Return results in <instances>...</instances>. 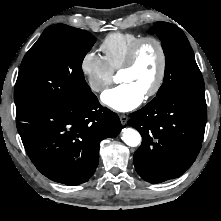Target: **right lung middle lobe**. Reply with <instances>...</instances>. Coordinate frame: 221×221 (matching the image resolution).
Listing matches in <instances>:
<instances>
[{
    "mask_svg": "<svg viewBox=\"0 0 221 221\" xmlns=\"http://www.w3.org/2000/svg\"><path fill=\"white\" fill-rule=\"evenodd\" d=\"M95 41L85 30L48 27L21 63L14 91L16 119L69 106L91 93L82 62Z\"/></svg>",
    "mask_w": 221,
    "mask_h": 221,
    "instance_id": "right-lung-middle-lobe-1",
    "label": "right lung middle lobe"
}]
</instances>
